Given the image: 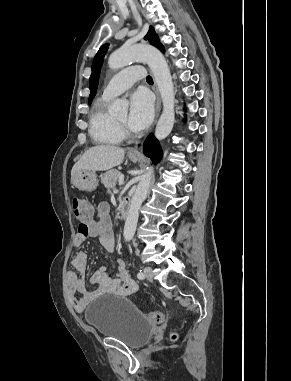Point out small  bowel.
Returning a JSON list of instances; mask_svg holds the SVG:
<instances>
[{
    "mask_svg": "<svg viewBox=\"0 0 291 381\" xmlns=\"http://www.w3.org/2000/svg\"><path fill=\"white\" fill-rule=\"evenodd\" d=\"M98 221L92 220L86 230L79 225L74 238V247L78 248L89 238H97L104 249L108 252L115 250V240L111 228L109 207L106 203L99 204L97 208ZM72 265L74 270L66 274V288L68 297L77 312L84 311L94 300L103 294L116 296H128L138 290L137 283L131 278L123 260L117 261V273L115 276L108 274L106 267L99 268L92 276V282L97 289L92 292L86 290L85 280L78 275L84 274L88 269V256L86 253L76 250L73 255ZM78 295H80L78 297Z\"/></svg>",
    "mask_w": 291,
    "mask_h": 381,
    "instance_id": "small-bowel-1",
    "label": "small bowel"
}]
</instances>
